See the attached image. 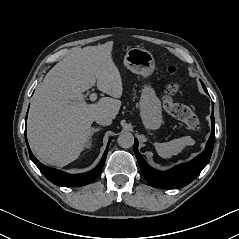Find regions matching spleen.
Returning a JSON list of instances; mask_svg holds the SVG:
<instances>
[{
	"instance_id": "3e777b00",
	"label": "spleen",
	"mask_w": 239,
	"mask_h": 239,
	"mask_svg": "<svg viewBox=\"0 0 239 239\" xmlns=\"http://www.w3.org/2000/svg\"><path fill=\"white\" fill-rule=\"evenodd\" d=\"M194 144L195 141L190 136H185L178 139H173L169 142H156L154 145L160 157L170 158L179 154L186 146H192Z\"/></svg>"
}]
</instances>
